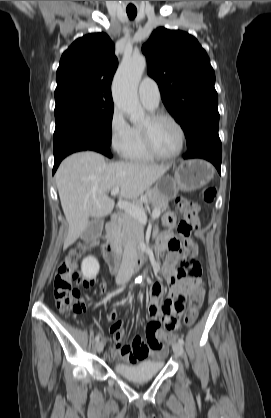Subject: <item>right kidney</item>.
I'll return each mask as SVG.
<instances>
[{
  "mask_svg": "<svg viewBox=\"0 0 271 418\" xmlns=\"http://www.w3.org/2000/svg\"><path fill=\"white\" fill-rule=\"evenodd\" d=\"M81 269L84 277L88 279L94 278L100 269L99 262L93 256H88L82 261Z\"/></svg>",
  "mask_w": 271,
  "mask_h": 418,
  "instance_id": "right-kidney-1",
  "label": "right kidney"
}]
</instances>
